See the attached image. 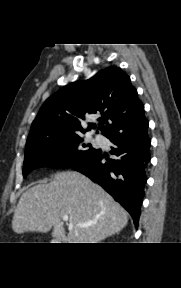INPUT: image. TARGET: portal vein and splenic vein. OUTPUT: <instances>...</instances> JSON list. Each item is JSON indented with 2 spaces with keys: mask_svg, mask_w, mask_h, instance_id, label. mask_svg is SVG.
<instances>
[{
  "mask_svg": "<svg viewBox=\"0 0 181 288\" xmlns=\"http://www.w3.org/2000/svg\"><path fill=\"white\" fill-rule=\"evenodd\" d=\"M63 221L65 222H68L69 221V217L68 216H63ZM72 223L69 221V226H71ZM91 225V223H84V224H78L77 226H80V227H86V226H89Z\"/></svg>",
  "mask_w": 181,
  "mask_h": 288,
  "instance_id": "portal-vein-and-splenic-vein-1",
  "label": "portal vein and splenic vein"
}]
</instances>
